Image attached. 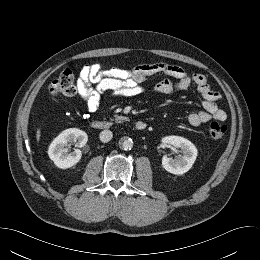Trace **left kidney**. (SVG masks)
<instances>
[{"instance_id": "1", "label": "left kidney", "mask_w": 260, "mask_h": 260, "mask_svg": "<svg viewBox=\"0 0 260 260\" xmlns=\"http://www.w3.org/2000/svg\"><path fill=\"white\" fill-rule=\"evenodd\" d=\"M164 144L172 145L180 149L182 155L177 158H169L166 155L162 158V166L169 173L182 175L189 171L197 158V148L189 140L180 136H167L162 139Z\"/></svg>"}]
</instances>
